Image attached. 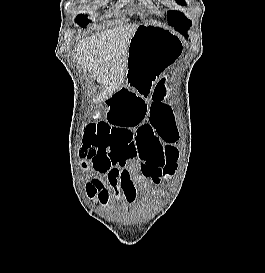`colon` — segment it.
Listing matches in <instances>:
<instances>
[{
  "mask_svg": "<svg viewBox=\"0 0 265 273\" xmlns=\"http://www.w3.org/2000/svg\"><path fill=\"white\" fill-rule=\"evenodd\" d=\"M165 83L166 78H163L155 89V103L154 105H151V108L149 109L150 120L148 121V124L150 125V128H155V132H159V139H163L168 143L164 148L165 165L163 174L164 176H171L176 170L178 150L169 145V143L176 145L175 141L179 134L174 120L168 112L167 106L163 103V99L166 95ZM109 144L110 142L106 138V129L85 128L84 144L82 147V152L84 154H94L96 152L98 155L100 152L105 151Z\"/></svg>",
  "mask_w": 265,
  "mask_h": 273,
  "instance_id": "colon-1",
  "label": "colon"
}]
</instances>
